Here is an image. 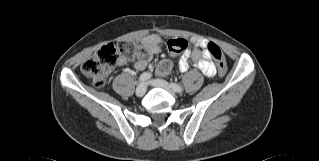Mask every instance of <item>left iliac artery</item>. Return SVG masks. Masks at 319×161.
Segmentation results:
<instances>
[{"label": "left iliac artery", "mask_w": 319, "mask_h": 161, "mask_svg": "<svg viewBox=\"0 0 319 161\" xmlns=\"http://www.w3.org/2000/svg\"><path fill=\"white\" fill-rule=\"evenodd\" d=\"M171 87L176 92H181L183 90L182 86L176 83H171Z\"/></svg>", "instance_id": "left-iliac-artery-1"}]
</instances>
